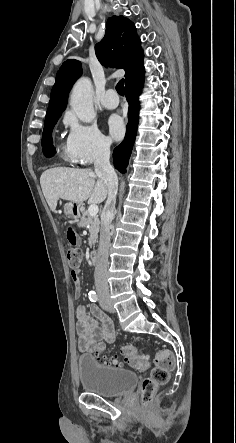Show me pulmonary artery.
<instances>
[{"instance_id":"obj_1","label":"pulmonary artery","mask_w":236,"mask_h":443,"mask_svg":"<svg viewBox=\"0 0 236 443\" xmlns=\"http://www.w3.org/2000/svg\"><path fill=\"white\" fill-rule=\"evenodd\" d=\"M114 94H115L114 89H108L100 100L101 105L107 109L116 108L118 106L119 102L116 100L109 99V97Z\"/></svg>"}]
</instances>
